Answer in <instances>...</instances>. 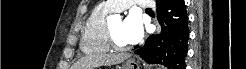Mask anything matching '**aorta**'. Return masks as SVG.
<instances>
[{
	"label": "aorta",
	"instance_id": "1",
	"mask_svg": "<svg viewBox=\"0 0 246 69\" xmlns=\"http://www.w3.org/2000/svg\"><path fill=\"white\" fill-rule=\"evenodd\" d=\"M113 18H117V17H119L118 15H115V16H112ZM111 18V17H110Z\"/></svg>",
	"mask_w": 246,
	"mask_h": 69
}]
</instances>
